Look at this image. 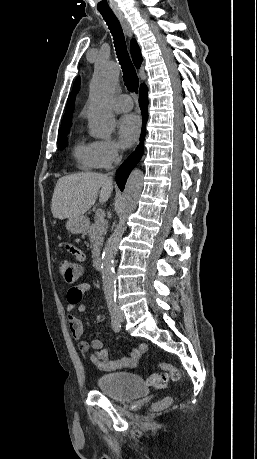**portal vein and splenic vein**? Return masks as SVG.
<instances>
[{"instance_id":"portal-vein-and-splenic-vein-1","label":"portal vein and splenic vein","mask_w":257,"mask_h":459,"mask_svg":"<svg viewBox=\"0 0 257 459\" xmlns=\"http://www.w3.org/2000/svg\"><path fill=\"white\" fill-rule=\"evenodd\" d=\"M95 217H96L97 220H104V218H105L104 210H101V209L97 210L96 213H95Z\"/></svg>"}]
</instances>
